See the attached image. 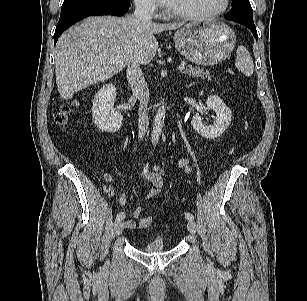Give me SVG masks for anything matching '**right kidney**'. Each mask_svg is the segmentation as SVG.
Here are the masks:
<instances>
[{"label": "right kidney", "instance_id": "ca27d5eb", "mask_svg": "<svg viewBox=\"0 0 307 301\" xmlns=\"http://www.w3.org/2000/svg\"><path fill=\"white\" fill-rule=\"evenodd\" d=\"M115 100L116 88L113 84L104 85L94 96L92 119L101 131L115 133L122 126L123 116L113 108Z\"/></svg>", "mask_w": 307, "mask_h": 301}]
</instances>
